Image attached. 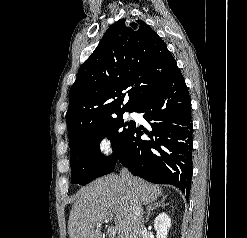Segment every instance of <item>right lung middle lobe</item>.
<instances>
[{
    "instance_id": "dd1d6c3e",
    "label": "right lung middle lobe",
    "mask_w": 247,
    "mask_h": 238,
    "mask_svg": "<svg viewBox=\"0 0 247 238\" xmlns=\"http://www.w3.org/2000/svg\"><path fill=\"white\" fill-rule=\"evenodd\" d=\"M122 115L91 127L70 146L72 183L85 185L114 169L134 126V121H124ZM105 137L112 144L114 154L110 157H103L99 149L100 141Z\"/></svg>"
}]
</instances>
